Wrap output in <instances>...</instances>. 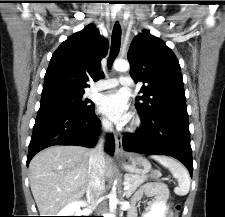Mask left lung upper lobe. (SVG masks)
<instances>
[{
  "mask_svg": "<svg viewBox=\"0 0 225 217\" xmlns=\"http://www.w3.org/2000/svg\"><path fill=\"white\" fill-rule=\"evenodd\" d=\"M130 75L137 83L144 82L136 108L141 115L163 110L185 109L186 98L179 62L164 42L143 30L128 51Z\"/></svg>",
  "mask_w": 225,
  "mask_h": 217,
  "instance_id": "5c2ea615",
  "label": "left lung upper lobe"
}]
</instances>
